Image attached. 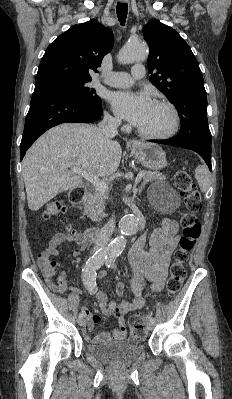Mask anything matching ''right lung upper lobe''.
I'll use <instances>...</instances> for the list:
<instances>
[{
  "mask_svg": "<svg viewBox=\"0 0 232 399\" xmlns=\"http://www.w3.org/2000/svg\"><path fill=\"white\" fill-rule=\"evenodd\" d=\"M113 43L112 30L94 19L72 26L46 49L35 84L54 78L91 80Z\"/></svg>",
  "mask_w": 232,
  "mask_h": 399,
  "instance_id": "obj_1",
  "label": "right lung upper lobe"
}]
</instances>
